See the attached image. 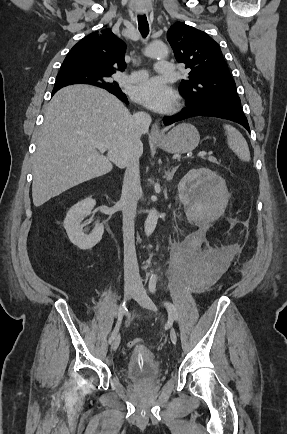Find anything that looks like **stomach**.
Wrapping results in <instances>:
<instances>
[{"mask_svg":"<svg viewBox=\"0 0 287 434\" xmlns=\"http://www.w3.org/2000/svg\"><path fill=\"white\" fill-rule=\"evenodd\" d=\"M199 141L197 129L191 124L181 123L166 135L154 140V143L168 153L181 154L194 150Z\"/></svg>","mask_w":287,"mask_h":434,"instance_id":"0dacf381","label":"stomach"}]
</instances>
